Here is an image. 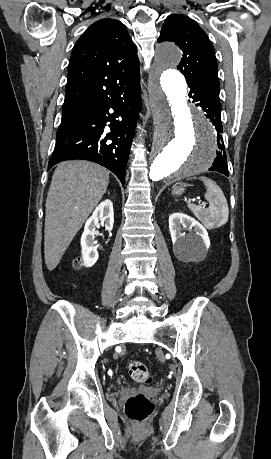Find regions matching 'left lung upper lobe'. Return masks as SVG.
Instances as JSON below:
<instances>
[{
  "mask_svg": "<svg viewBox=\"0 0 271 459\" xmlns=\"http://www.w3.org/2000/svg\"><path fill=\"white\" fill-rule=\"evenodd\" d=\"M158 41H172L180 47L183 57L178 69L184 74L188 85L208 83L219 89L214 48L206 33L192 19L182 14L169 15Z\"/></svg>",
  "mask_w": 271,
  "mask_h": 459,
  "instance_id": "obj_1",
  "label": "left lung upper lobe"
}]
</instances>
